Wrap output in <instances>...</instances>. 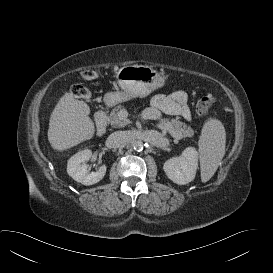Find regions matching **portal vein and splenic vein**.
Returning <instances> with one entry per match:
<instances>
[{
    "mask_svg": "<svg viewBox=\"0 0 273 273\" xmlns=\"http://www.w3.org/2000/svg\"><path fill=\"white\" fill-rule=\"evenodd\" d=\"M121 113H122V114H123V113H124V114H127V112H126L125 110H124V111H121Z\"/></svg>",
    "mask_w": 273,
    "mask_h": 273,
    "instance_id": "18ae733b",
    "label": "portal vein and splenic vein"
}]
</instances>
